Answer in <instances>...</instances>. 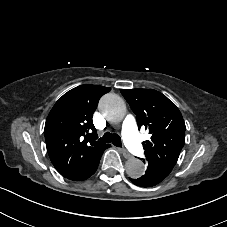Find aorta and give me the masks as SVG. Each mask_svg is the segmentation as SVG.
I'll return each instance as SVG.
<instances>
[{
	"label": "aorta",
	"instance_id": "aorta-1",
	"mask_svg": "<svg viewBox=\"0 0 227 227\" xmlns=\"http://www.w3.org/2000/svg\"><path fill=\"white\" fill-rule=\"evenodd\" d=\"M99 109L103 116L112 122L120 121L126 115L124 100L113 93H108L101 98ZM126 173L131 178H140L145 174V165L140 159L131 158L126 162Z\"/></svg>",
	"mask_w": 227,
	"mask_h": 227
}]
</instances>
